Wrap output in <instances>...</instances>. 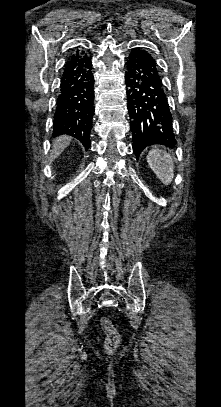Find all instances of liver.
<instances>
[{
	"instance_id": "liver-1",
	"label": "liver",
	"mask_w": 221,
	"mask_h": 407,
	"mask_svg": "<svg viewBox=\"0 0 221 407\" xmlns=\"http://www.w3.org/2000/svg\"><path fill=\"white\" fill-rule=\"evenodd\" d=\"M70 142L71 137L67 135L57 137L53 141V146L49 156V162H52L54 159H56L66 149Z\"/></svg>"
}]
</instances>
